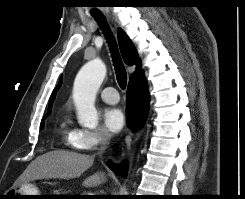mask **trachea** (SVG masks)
Returning a JSON list of instances; mask_svg holds the SVG:
<instances>
[{
    "label": "trachea",
    "instance_id": "1",
    "mask_svg": "<svg viewBox=\"0 0 245 199\" xmlns=\"http://www.w3.org/2000/svg\"><path fill=\"white\" fill-rule=\"evenodd\" d=\"M94 18L106 34V37H107V40L110 46L111 54H112L113 65L115 68L117 82L122 89H125L126 84H127V74H126V70L122 62L121 56L119 54L116 40L113 37L108 27L105 17L103 15H95Z\"/></svg>",
    "mask_w": 245,
    "mask_h": 199
}]
</instances>
